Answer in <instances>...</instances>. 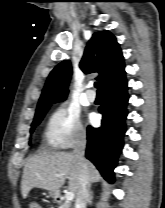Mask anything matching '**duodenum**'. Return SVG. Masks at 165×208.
Masks as SVG:
<instances>
[{
    "instance_id": "duodenum-1",
    "label": "duodenum",
    "mask_w": 165,
    "mask_h": 208,
    "mask_svg": "<svg viewBox=\"0 0 165 208\" xmlns=\"http://www.w3.org/2000/svg\"><path fill=\"white\" fill-rule=\"evenodd\" d=\"M54 197H55V199H57V200H61V194L59 193V192H55L54 193Z\"/></svg>"
}]
</instances>
